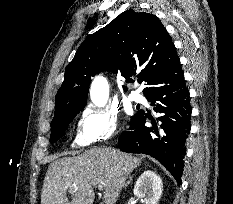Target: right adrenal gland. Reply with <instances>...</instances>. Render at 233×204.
<instances>
[{"label":"right adrenal gland","instance_id":"right-adrenal-gland-1","mask_svg":"<svg viewBox=\"0 0 233 204\" xmlns=\"http://www.w3.org/2000/svg\"><path fill=\"white\" fill-rule=\"evenodd\" d=\"M132 177H133V176H131V177L129 178V181L124 185V187H127V185H129V184L131 183Z\"/></svg>","mask_w":233,"mask_h":204}]
</instances>
